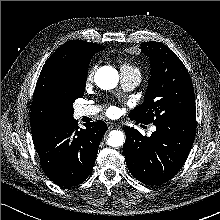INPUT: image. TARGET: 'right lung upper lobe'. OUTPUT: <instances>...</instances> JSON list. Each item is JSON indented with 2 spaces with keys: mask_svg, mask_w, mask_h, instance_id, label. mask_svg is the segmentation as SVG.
Listing matches in <instances>:
<instances>
[{
  "mask_svg": "<svg viewBox=\"0 0 220 220\" xmlns=\"http://www.w3.org/2000/svg\"><path fill=\"white\" fill-rule=\"evenodd\" d=\"M103 46L71 40L57 49L45 63L34 92L31 109L32 133L59 120L67 119L58 96V80L69 64L91 59Z\"/></svg>",
  "mask_w": 220,
  "mask_h": 220,
  "instance_id": "obj_1",
  "label": "right lung upper lobe"
}]
</instances>
